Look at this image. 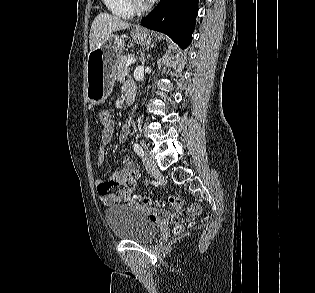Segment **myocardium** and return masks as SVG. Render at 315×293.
Segmentation results:
<instances>
[{"label":"myocardium","instance_id":"obj_1","mask_svg":"<svg viewBox=\"0 0 315 293\" xmlns=\"http://www.w3.org/2000/svg\"><path fill=\"white\" fill-rule=\"evenodd\" d=\"M128 6L133 12L141 13L147 11L151 3L147 1L146 3H140L138 0H127Z\"/></svg>","mask_w":315,"mask_h":293}]
</instances>
